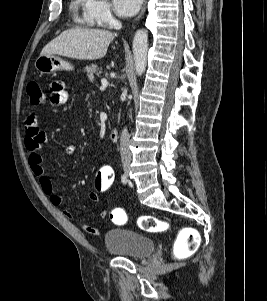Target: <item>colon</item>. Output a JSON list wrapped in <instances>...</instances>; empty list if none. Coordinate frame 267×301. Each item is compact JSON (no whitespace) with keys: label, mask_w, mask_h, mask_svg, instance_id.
Returning a JSON list of instances; mask_svg holds the SVG:
<instances>
[{"label":"colon","mask_w":267,"mask_h":301,"mask_svg":"<svg viewBox=\"0 0 267 301\" xmlns=\"http://www.w3.org/2000/svg\"><path fill=\"white\" fill-rule=\"evenodd\" d=\"M27 93L32 105H39L44 100V93L41 87L36 82H30L27 86ZM114 184V170L111 165H102L95 176L94 190L99 196L107 195ZM109 217L116 224H124L127 221L128 215L124 208L115 207ZM138 226L147 232H161L166 230L167 224L153 216L143 215L138 219ZM199 235L191 228L183 229L175 242L174 252L179 258H185L196 252L199 246Z\"/></svg>","instance_id":"1"}]
</instances>
